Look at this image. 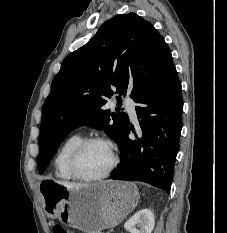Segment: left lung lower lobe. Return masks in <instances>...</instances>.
I'll return each mask as SVG.
<instances>
[{
    "label": "left lung lower lobe",
    "instance_id": "1",
    "mask_svg": "<svg viewBox=\"0 0 227 233\" xmlns=\"http://www.w3.org/2000/svg\"><path fill=\"white\" fill-rule=\"evenodd\" d=\"M140 130L126 127L118 147L121 162L111 179L142 181L170 191L182 129V88L173 65L163 80L135 100ZM132 131L137 140L128 137ZM139 136V137H138Z\"/></svg>",
    "mask_w": 227,
    "mask_h": 233
}]
</instances>
